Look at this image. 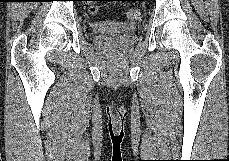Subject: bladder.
Segmentation results:
<instances>
[{
    "mask_svg": "<svg viewBox=\"0 0 229 161\" xmlns=\"http://www.w3.org/2000/svg\"><path fill=\"white\" fill-rule=\"evenodd\" d=\"M91 31L96 35L105 33H124L133 35L136 27L133 24L122 23L117 20H102L91 25Z\"/></svg>",
    "mask_w": 229,
    "mask_h": 161,
    "instance_id": "1",
    "label": "bladder"
}]
</instances>
